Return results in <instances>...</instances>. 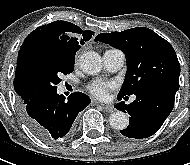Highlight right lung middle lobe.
<instances>
[{
	"instance_id": "right-lung-middle-lobe-1",
	"label": "right lung middle lobe",
	"mask_w": 190,
	"mask_h": 165,
	"mask_svg": "<svg viewBox=\"0 0 190 165\" xmlns=\"http://www.w3.org/2000/svg\"><path fill=\"white\" fill-rule=\"evenodd\" d=\"M75 51L58 44L32 40L24 48L20 59L22 97L28 99L45 90H55L62 74L74 69Z\"/></svg>"
}]
</instances>
